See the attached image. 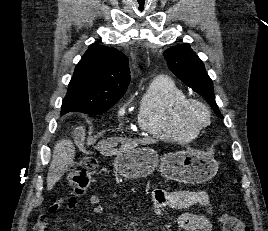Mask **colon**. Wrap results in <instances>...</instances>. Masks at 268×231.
I'll return each instance as SVG.
<instances>
[{
  "mask_svg": "<svg viewBox=\"0 0 268 231\" xmlns=\"http://www.w3.org/2000/svg\"><path fill=\"white\" fill-rule=\"evenodd\" d=\"M96 169L97 163L93 159H84L69 167L70 185L74 195H81L87 190ZM74 203L73 198L70 205L73 206ZM221 222L223 231H250L245 223L229 213L222 216Z\"/></svg>",
  "mask_w": 268,
  "mask_h": 231,
  "instance_id": "obj_1",
  "label": "colon"
}]
</instances>
